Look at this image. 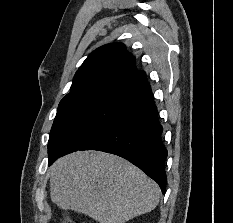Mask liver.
Masks as SVG:
<instances>
[{
	"label": "liver",
	"instance_id": "obj_1",
	"mask_svg": "<svg viewBox=\"0 0 233 223\" xmlns=\"http://www.w3.org/2000/svg\"><path fill=\"white\" fill-rule=\"evenodd\" d=\"M50 197L60 209L84 213L98 223H125L152 211L160 187L139 167L104 151H74L48 169Z\"/></svg>",
	"mask_w": 233,
	"mask_h": 223
}]
</instances>
